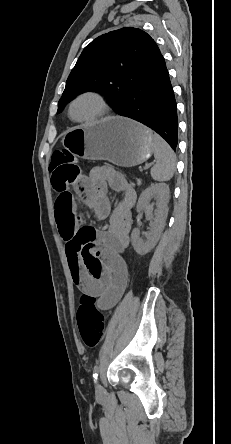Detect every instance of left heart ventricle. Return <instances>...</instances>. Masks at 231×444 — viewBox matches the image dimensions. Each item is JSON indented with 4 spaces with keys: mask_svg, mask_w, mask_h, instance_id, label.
<instances>
[{
    "mask_svg": "<svg viewBox=\"0 0 231 444\" xmlns=\"http://www.w3.org/2000/svg\"><path fill=\"white\" fill-rule=\"evenodd\" d=\"M99 110V102L94 97L85 96L76 101L72 114L76 119H86L96 115Z\"/></svg>",
    "mask_w": 231,
    "mask_h": 444,
    "instance_id": "1",
    "label": "left heart ventricle"
}]
</instances>
